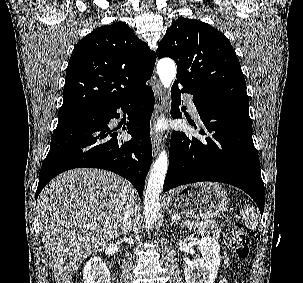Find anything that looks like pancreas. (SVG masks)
<instances>
[{
	"label": "pancreas",
	"mask_w": 303,
	"mask_h": 283,
	"mask_svg": "<svg viewBox=\"0 0 303 283\" xmlns=\"http://www.w3.org/2000/svg\"><path fill=\"white\" fill-rule=\"evenodd\" d=\"M184 223L188 226L189 229H193L197 231L199 234H207L208 236H212L214 238H219V234L221 232V228L219 224L214 221H209L207 224H198L200 221L194 220H185Z\"/></svg>",
	"instance_id": "1"
}]
</instances>
